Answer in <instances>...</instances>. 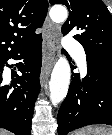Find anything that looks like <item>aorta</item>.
<instances>
[{"mask_svg":"<svg viewBox=\"0 0 112 135\" xmlns=\"http://www.w3.org/2000/svg\"><path fill=\"white\" fill-rule=\"evenodd\" d=\"M50 18L56 23H63L68 17L67 9L64 6H53L49 12ZM71 70L65 56H60L54 65L49 82L50 100L53 105L64 100L68 93Z\"/></svg>","mask_w":112,"mask_h":135,"instance_id":"aorta-1","label":"aorta"}]
</instances>
